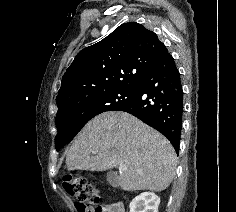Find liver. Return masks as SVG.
Segmentation results:
<instances>
[{
    "label": "liver",
    "mask_w": 236,
    "mask_h": 212,
    "mask_svg": "<svg viewBox=\"0 0 236 212\" xmlns=\"http://www.w3.org/2000/svg\"><path fill=\"white\" fill-rule=\"evenodd\" d=\"M92 151L96 154L90 155ZM69 171H106L124 164L117 177L125 191L165 190L175 175L177 158L170 142L133 115L104 112L90 120L70 146Z\"/></svg>",
    "instance_id": "liver-1"
}]
</instances>
